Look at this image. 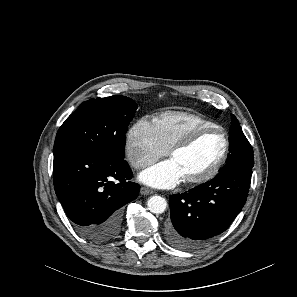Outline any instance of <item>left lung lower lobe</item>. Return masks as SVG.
<instances>
[{
  "instance_id": "0a47b994",
  "label": "left lung lower lobe",
  "mask_w": 297,
  "mask_h": 297,
  "mask_svg": "<svg viewBox=\"0 0 297 297\" xmlns=\"http://www.w3.org/2000/svg\"><path fill=\"white\" fill-rule=\"evenodd\" d=\"M252 169L221 171L188 192L170 196L167 241L181 250H197L224 232L243 208Z\"/></svg>"
}]
</instances>
